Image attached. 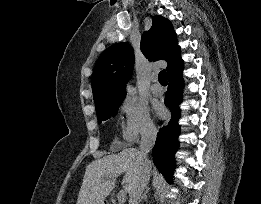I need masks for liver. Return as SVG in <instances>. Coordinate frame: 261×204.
<instances>
[{"label":"liver","mask_w":261,"mask_h":204,"mask_svg":"<svg viewBox=\"0 0 261 204\" xmlns=\"http://www.w3.org/2000/svg\"><path fill=\"white\" fill-rule=\"evenodd\" d=\"M151 167L150 164V170ZM123 173L122 185L130 196L143 175L137 149H124L119 154L92 161L86 167L76 204H104L105 198L115 187V179L110 176Z\"/></svg>","instance_id":"obj_1"}]
</instances>
